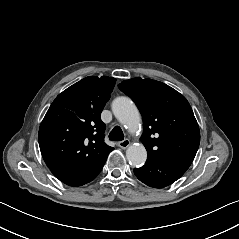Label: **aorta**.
Segmentation results:
<instances>
[{"instance_id": "aorta-1", "label": "aorta", "mask_w": 239, "mask_h": 239, "mask_svg": "<svg viewBox=\"0 0 239 239\" xmlns=\"http://www.w3.org/2000/svg\"><path fill=\"white\" fill-rule=\"evenodd\" d=\"M116 119L127 126L129 131H135L140 125V114L134 102L125 96L115 98L111 104ZM128 161L135 166L143 164L147 159V151L142 144L131 145L126 151Z\"/></svg>"}]
</instances>
